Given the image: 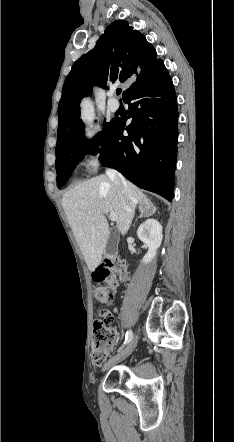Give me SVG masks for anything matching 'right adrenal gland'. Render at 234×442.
<instances>
[{
	"mask_svg": "<svg viewBox=\"0 0 234 442\" xmlns=\"http://www.w3.org/2000/svg\"><path fill=\"white\" fill-rule=\"evenodd\" d=\"M143 203H148V204H150L151 206H153L152 203H150L148 200H146V199H145V200H142V201L140 202V205H139V210H140V212H141L139 218H142V217L144 216V211H143V206H142ZM154 209H155V207H154ZM137 219H138V218H137ZM137 219H136L135 221H137Z\"/></svg>",
	"mask_w": 234,
	"mask_h": 442,
	"instance_id": "right-adrenal-gland-1",
	"label": "right adrenal gland"
}]
</instances>
